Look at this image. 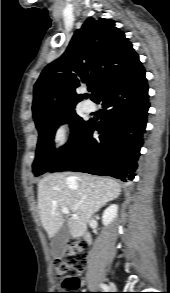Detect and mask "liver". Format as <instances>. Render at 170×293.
<instances>
[{
    "label": "liver",
    "instance_id": "1",
    "mask_svg": "<svg viewBox=\"0 0 170 293\" xmlns=\"http://www.w3.org/2000/svg\"><path fill=\"white\" fill-rule=\"evenodd\" d=\"M121 193L120 184L86 173H53L38 183V210L41 223L52 238L64 223L62 207L77 215L69 218L71 236L84 235L92 216Z\"/></svg>",
    "mask_w": 170,
    "mask_h": 293
}]
</instances>
